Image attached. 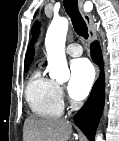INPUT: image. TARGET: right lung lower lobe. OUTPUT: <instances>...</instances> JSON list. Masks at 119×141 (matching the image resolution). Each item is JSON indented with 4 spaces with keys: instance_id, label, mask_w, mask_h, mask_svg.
<instances>
[{
    "instance_id": "98d812e1",
    "label": "right lung lower lobe",
    "mask_w": 119,
    "mask_h": 141,
    "mask_svg": "<svg viewBox=\"0 0 119 141\" xmlns=\"http://www.w3.org/2000/svg\"><path fill=\"white\" fill-rule=\"evenodd\" d=\"M91 57L101 66V75L93 86L91 94L84 106L75 114L74 122L86 137L94 140L97 125L104 107V74L102 68V54L97 42L91 45Z\"/></svg>"
}]
</instances>
